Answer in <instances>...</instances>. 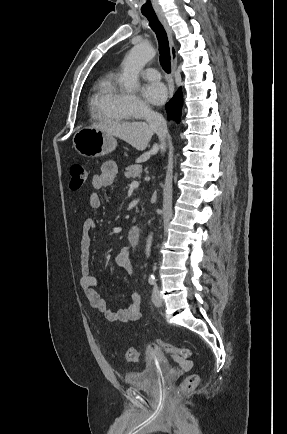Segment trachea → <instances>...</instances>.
<instances>
[{
	"label": "trachea",
	"instance_id": "obj_1",
	"mask_svg": "<svg viewBox=\"0 0 287 434\" xmlns=\"http://www.w3.org/2000/svg\"><path fill=\"white\" fill-rule=\"evenodd\" d=\"M145 17L149 21V26L155 32L158 43H159V53H160V64L166 73L171 72V54L169 41L167 37V33L159 21L157 15L155 13L152 14H144Z\"/></svg>",
	"mask_w": 287,
	"mask_h": 434
}]
</instances>
